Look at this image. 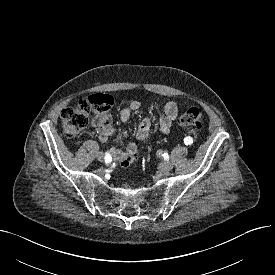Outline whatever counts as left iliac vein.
Masks as SVG:
<instances>
[{"label":"left iliac vein","mask_w":275,"mask_h":275,"mask_svg":"<svg viewBox=\"0 0 275 275\" xmlns=\"http://www.w3.org/2000/svg\"><path fill=\"white\" fill-rule=\"evenodd\" d=\"M173 168V163L171 161H164L159 165V170L166 174Z\"/></svg>","instance_id":"4c4485c4"}]
</instances>
